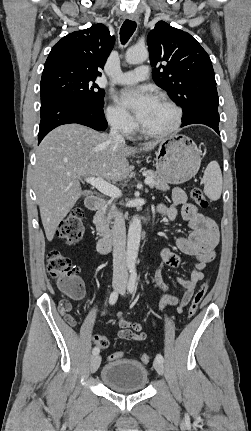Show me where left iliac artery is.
Segmentation results:
<instances>
[{
    "mask_svg": "<svg viewBox=\"0 0 251 431\" xmlns=\"http://www.w3.org/2000/svg\"><path fill=\"white\" fill-rule=\"evenodd\" d=\"M136 280H137V272H136V268L135 267H131L130 268V278H129V282L127 285V289L130 293H133L135 290V286H136ZM156 359L163 362L164 358L161 354H157L156 355Z\"/></svg>",
    "mask_w": 251,
    "mask_h": 431,
    "instance_id": "left-iliac-artery-1",
    "label": "left iliac artery"
}]
</instances>
